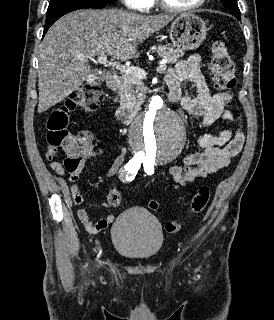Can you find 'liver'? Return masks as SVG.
<instances>
[{
	"mask_svg": "<svg viewBox=\"0 0 274 320\" xmlns=\"http://www.w3.org/2000/svg\"><path fill=\"white\" fill-rule=\"evenodd\" d=\"M175 16H143L125 10H76L49 28L38 50L37 112H46L79 90L92 76L81 58L108 54L113 60L135 58L138 42L168 26Z\"/></svg>",
	"mask_w": 274,
	"mask_h": 320,
	"instance_id": "liver-1",
	"label": "liver"
}]
</instances>
